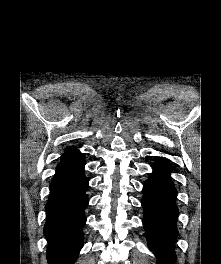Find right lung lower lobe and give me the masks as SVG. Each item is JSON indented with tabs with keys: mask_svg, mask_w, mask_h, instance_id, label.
Returning a JSON list of instances; mask_svg holds the SVG:
<instances>
[{
	"mask_svg": "<svg viewBox=\"0 0 221 264\" xmlns=\"http://www.w3.org/2000/svg\"><path fill=\"white\" fill-rule=\"evenodd\" d=\"M80 154L62 158L50 184L44 235L48 264H73L83 246L88 180Z\"/></svg>",
	"mask_w": 221,
	"mask_h": 264,
	"instance_id": "98d812e1",
	"label": "right lung lower lobe"
}]
</instances>
